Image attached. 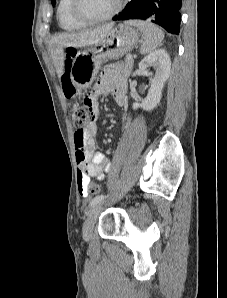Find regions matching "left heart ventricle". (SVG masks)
Returning <instances> with one entry per match:
<instances>
[{"label":"left heart ventricle","instance_id":"1","mask_svg":"<svg viewBox=\"0 0 227 298\" xmlns=\"http://www.w3.org/2000/svg\"><path fill=\"white\" fill-rule=\"evenodd\" d=\"M81 12L91 18L107 15L115 7L117 0H80Z\"/></svg>","mask_w":227,"mask_h":298}]
</instances>
